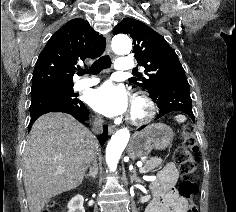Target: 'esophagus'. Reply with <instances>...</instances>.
Wrapping results in <instances>:
<instances>
[{
  "label": "esophagus",
  "mask_w": 236,
  "mask_h": 212,
  "mask_svg": "<svg viewBox=\"0 0 236 212\" xmlns=\"http://www.w3.org/2000/svg\"><path fill=\"white\" fill-rule=\"evenodd\" d=\"M106 51L107 53L111 56L114 57V53L111 49V45H110V36L108 35L106 38ZM116 126L115 125H109L108 127V131L110 134L114 133L116 131Z\"/></svg>",
  "instance_id": "obj_1"
}]
</instances>
